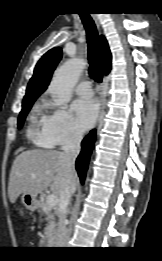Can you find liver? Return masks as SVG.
<instances>
[{
  "label": "liver",
  "mask_w": 162,
  "mask_h": 261,
  "mask_svg": "<svg viewBox=\"0 0 162 261\" xmlns=\"http://www.w3.org/2000/svg\"><path fill=\"white\" fill-rule=\"evenodd\" d=\"M77 183L76 171L68 166L63 152L27 150L19 154L13 162L8 196L10 202L15 203L20 194L37 196L50 187L51 192L61 198L66 188L76 187Z\"/></svg>",
  "instance_id": "6515ba94"
}]
</instances>
